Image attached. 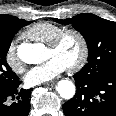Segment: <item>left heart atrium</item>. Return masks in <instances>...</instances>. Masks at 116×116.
<instances>
[{
    "instance_id": "left-heart-atrium-1",
    "label": "left heart atrium",
    "mask_w": 116,
    "mask_h": 116,
    "mask_svg": "<svg viewBox=\"0 0 116 116\" xmlns=\"http://www.w3.org/2000/svg\"><path fill=\"white\" fill-rule=\"evenodd\" d=\"M67 67L63 60L54 56L45 63L32 67L24 79L28 85H38L58 77Z\"/></svg>"
}]
</instances>
